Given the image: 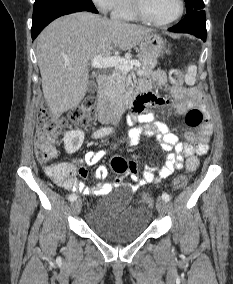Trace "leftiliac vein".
<instances>
[{
	"label": "left iliac vein",
	"mask_w": 233,
	"mask_h": 284,
	"mask_svg": "<svg viewBox=\"0 0 233 284\" xmlns=\"http://www.w3.org/2000/svg\"><path fill=\"white\" fill-rule=\"evenodd\" d=\"M167 207H168V205H167L166 201H164L161 198L157 199L156 208H157V210L160 214H162V215L165 214L166 211H167Z\"/></svg>",
	"instance_id": "1"
}]
</instances>
